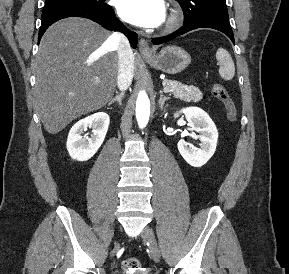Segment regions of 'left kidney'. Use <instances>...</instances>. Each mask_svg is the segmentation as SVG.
<instances>
[{
    "label": "left kidney",
    "mask_w": 289,
    "mask_h": 274,
    "mask_svg": "<svg viewBox=\"0 0 289 274\" xmlns=\"http://www.w3.org/2000/svg\"><path fill=\"white\" fill-rule=\"evenodd\" d=\"M185 115L188 125L192 130L199 133L200 148H191L185 140L178 142V150L184 160L193 167H201L213 156L218 140L217 128L209 115L198 107H187L174 114Z\"/></svg>",
    "instance_id": "5707ae66"
}]
</instances>
